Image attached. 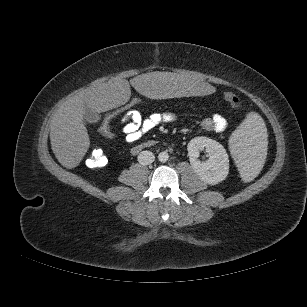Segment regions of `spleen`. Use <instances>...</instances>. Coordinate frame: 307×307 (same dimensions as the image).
Returning <instances> with one entry per match:
<instances>
[{
    "instance_id": "3e777b00",
    "label": "spleen",
    "mask_w": 307,
    "mask_h": 307,
    "mask_svg": "<svg viewBox=\"0 0 307 307\" xmlns=\"http://www.w3.org/2000/svg\"><path fill=\"white\" fill-rule=\"evenodd\" d=\"M269 142L261 116L254 112L249 113L232 138L236 172L242 180L253 182L252 177L261 172V158L268 154Z\"/></svg>"
}]
</instances>
